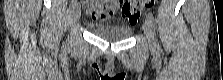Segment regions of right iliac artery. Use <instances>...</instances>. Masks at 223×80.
I'll list each match as a JSON object with an SVG mask.
<instances>
[{
	"mask_svg": "<svg viewBox=\"0 0 223 80\" xmlns=\"http://www.w3.org/2000/svg\"><path fill=\"white\" fill-rule=\"evenodd\" d=\"M72 6H73V7H76V6H78V5H77L76 2L73 1V2H72Z\"/></svg>",
	"mask_w": 223,
	"mask_h": 80,
	"instance_id": "82829eb1",
	"label": "right iliac artery"
}]
</instances>
